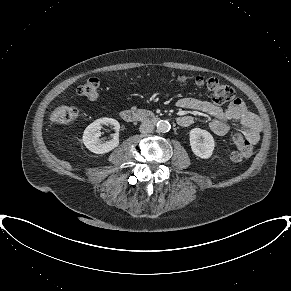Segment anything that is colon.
<instances>
[{
  "label": "colon",
  "instance_id": "colon-1",
  "mask_svg": "<svg viewBox=\"0 0 291 291\" xmlns=\"http://www.w3.org/2000/svg\"><path fill=\"white\" fill-rule=\"evenodd\" d=\"M177 82L186 83L189 79L184 75L176 77ZM193 83L200 87H205L215 104L221 105L234 99L235 91L227 84L222 83L216 78H205L198 76L192 79ZM99 80L97 78H89L77 87V94L90 101H95L99 97ZM80 113L75 107L58 106L51 114V120L58 124H69L79 117ZM234 149L230 153L233 161H241L249 158L253 153L252 144L244 138L240 133L232 137Z\"/></svg>",
  "mask_w": 291,
  "mask_h": 291
}]
</instances>
